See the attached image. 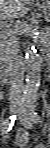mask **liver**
I'll use <instances>...</instances> for the list:
<instances>
[{"label": "liver", "instance_id": "liver-1", "mask_svg": "<svg viewBox=\"0 0 50 148\" xmlns=\"http://www.w3.org/2000/svg\"><path fill=\"white\" fill-rule=\"evenodd\" d=\"M30 2L31 0H1V18L14 19L23 16L28 11Z\"/></svg>", "mask_w": 50, "mask_h": 148}]
</instances>
